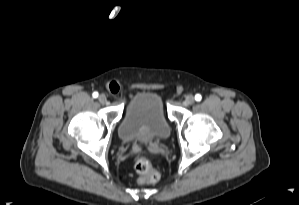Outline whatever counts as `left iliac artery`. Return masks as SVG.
I'll use <instances>...</instances> for the list:
<instances>
[{"label":"left iliac artery","instance_id":"obj_1","mask_svg":"<svg viewBox=\"0 0 299 205\" xmlns=\"http://www.w3.org/2000/svg\"><path fill=\"white\" fill-rule=\"evenodd\" d=\"M201 99H202V96L200 94L195 95V100L196 101H201Z\"/></svg>","mask_w":299,"mask_h":205}]
</instances>
